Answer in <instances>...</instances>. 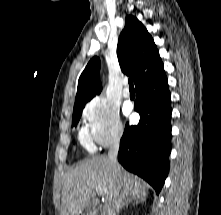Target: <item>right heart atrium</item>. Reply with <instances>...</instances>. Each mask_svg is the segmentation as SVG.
Masks as SVG:
<instances>
[{
    "mask_svg": "<svg viewBox=\"0 0 221 215\" xmlns=\"http://www.w3.org/2000/svg\"><path fill=\"white\" fill-rule=\"evenodd\" d=\"M83 118L92 140L100 146L110 145L123 135L119 110L104 97L92 99L83 110Z\"/></svg>",
    "mask_w": 221,
    "mask_h": 215,
    "instance_id": "1",
    "label": "right heart atrium"
}]
</instances>
